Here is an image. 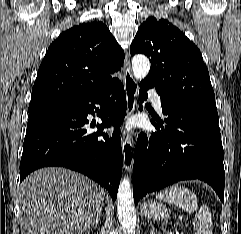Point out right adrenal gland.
Instances as JSON below:
<instances>
[{
  "mask_svg": "<svg viewBox=\"0 0 241 234\" xmlns=\"http://www.w3.org/2000/svg\"><path fill=\"white\" fill-rule=\"evenodd\" d=\"M100 216H101V211L97 214V216L95 217L93 223L88 227L89 229L94 226L95 228L98 226V222L100 220Z\"/></svg>",
  "mask_w": 241,
  "mask_h": 234,
  "instance_id": "2a0ac1e0",
  "label": "right adrenal gland"
}]
</instances>
